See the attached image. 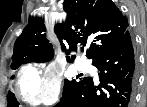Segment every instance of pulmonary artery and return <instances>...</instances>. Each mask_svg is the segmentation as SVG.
Segmentation results:
<instances>
[{
  "mask_svg": "<svg viewBox=\"0 0 147 107\" xmlns=\"http://www.w3.org/2000/svg\"><path fill=\"white\" fill-rule=\"evenodd\" d=\"M76 67L80 70L86 69L88 67L87 61L86 60H79L76 63Z\"/></svg>",
  "mask_w": 147,
  "mask_h": 107,
  "instance_id": "pulmonary-artery-1",
  "label": "pulmonary artery"
}]
</instances>
